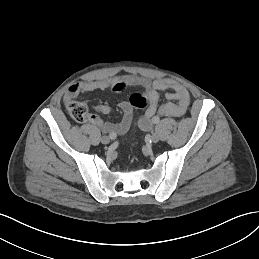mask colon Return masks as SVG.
<instances>
[{
  "mask_svg": "<svg viewBox=\"0 0 259 259\" xmlns=\"http://www.w3.org/2000/svg\"><path fill=\"white\" fill-rule=\"evenodd\" d=\"M129 102L135 109H144L148 105V95L144 92L134 93L130 96ZM67 110L69 115L77 122L87 121L90 115L87 106L79 101L70 100L67 103Z\"/></svg>",
  "mask_w": 259,
  "mask_h": 259,
  "instance_id": "obj_1",
  "label": "colon"
}]
</instances>
